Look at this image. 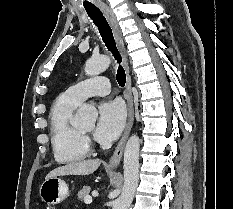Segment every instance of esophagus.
Wrapping results in <instances>:
<instances>
[{
  "mask_svg": "<svg viewBox=\"0 0 233 209\" xmlns=\"http://www.w3.org/2000/svg\"><path fill=\"white\" fill-rule=\"evenodd\" d=\"M100 8L113 30L117 46H118L119 52L122 57L123 66L126 72L125 99L127 102L128 117H127L125 131L114 151V154L112 155V157L110 158L108 162V165L110 167H116L122 159L124 146L130 134L131 128L133 126V122H134V106H133V96H132V89H131L132 82H131V76H130V71H129V66H128V58H127L126 50L123 44L120 27L118 25L116 17L113 11L107 5H100Z\"/></svg>",
  "mask_w": 233,
  "mask_h": 209,
  "instance_id": "obj_1",
  "label": "esophagus"
}]
</instances>
